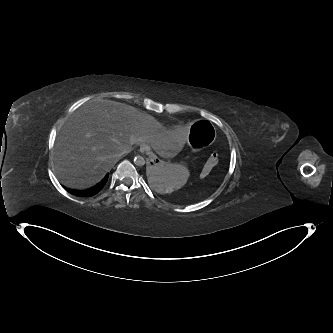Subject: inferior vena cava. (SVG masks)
I'll use <instances>...</instances> for the list:
<instances>
[{"label": "inferior vena cava", "mask_w": 333, "mask_h": 333, "mask_svg": "<svg viewBox=\"0 0 333 333\" xmlns=\"http://www.w3.org/2000/svg\"><path fill=\"white\" fill-rule=\"evenodd\" d=\"M124 154H126V152H123V153L121 154V156L124 155Z\"/></svg>", "instance_id": "1"}]
</instances>
